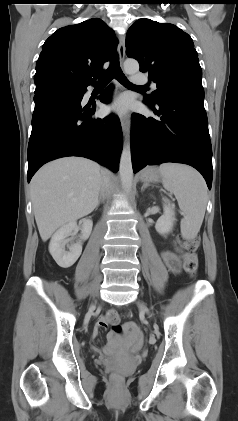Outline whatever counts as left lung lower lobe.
<instances>
[{"mask_svg":"<svg viewBox=\"0 0 238 421\" xmlns=\"http://www.w3.org/2000/svg\"><path fill=\"white\" fill-rule=\"evenodd\" d=\"M200 83L160 93L148 103L160 120L132 114L131 152L134 173L146 165L176 162L191 165L212 185V147Z\"/></svg>","mask_w":238,"mask_h":421,"instance_id":"1","label":"left lung lower lobe"}]
</instances>
